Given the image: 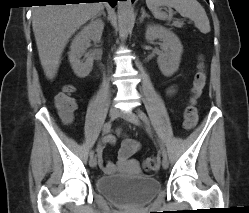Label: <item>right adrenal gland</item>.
<instances>
[{"instance_id": "2a0ac1e0", "label": "right adrenal gland", "mask_w": 249, "mask_h": 213, "mask_svg": "<svg viewBox=\"0 0 249 213\" xmlns=\"http://www.w3.org/2000/svg\"><path fill=\"white\" fill-rule=\"evenodd\" d=\"M101 15H103L104 17H106V13H105L104 9L96 17H99Z\"/></svg>"}]
</instances>
